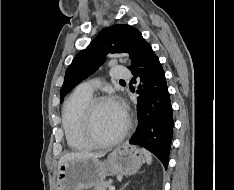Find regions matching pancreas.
<instances>
[{
	"instance_id": "obj_1",
	"label": "pancreas",
	"mask_w": 234,
	"mask_h": 190,
	"mask_svg": "<svg viewBox=\"0 0 234 190\" xmlns=\"http://www.w3.org/2000/svg\"><path fill=\"white\" fill-rule=\"evenodd\" d=\"M111 182L110 181H106V182H102L98 185H96L93 190H107L108 187H110Z\"/></svg>"
}]
</instances>
